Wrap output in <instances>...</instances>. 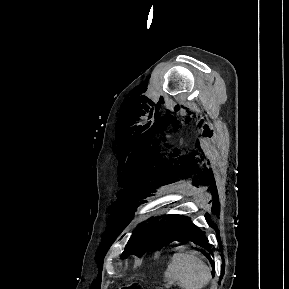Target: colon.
Returning a JSON list of instances; mask_svg holds the SVG:
<instances>
[{"label": "colon", "mask_w": 289, "mask_h": 289, "mask_svg": "<svg viewBox=\"0 0 289 289\" xmlns=\"http://www.w3.org/2000/svg\"><path fill=\"white\" fill-rule=\"evenodd\" d=\"M130 289H143L141 284L139 283H132L130 286H129Z\"/></svg>", "instance_id": "colon-1"}]
</instances>
